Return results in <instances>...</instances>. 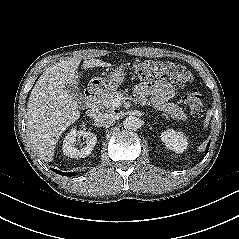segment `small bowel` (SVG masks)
<instances>
[{
    "mask_svg": "<svg viewBox=\"0 0 239 239\" xmlns=\"http://www.w3.org/2000/svg\"><path fill=\"white\" fill-rule=\"evenodd\" d=\"M135 93L140 100H145L147 96H150L154 104L169 101L175 95L172 86L163 80L142 82L136 87Z\"/></svg>",
    "mask_w": 239,
    "mask_h": 239,
    "instance_id": "obj_1",
    "label": "small bowel"
}]
</instances>
